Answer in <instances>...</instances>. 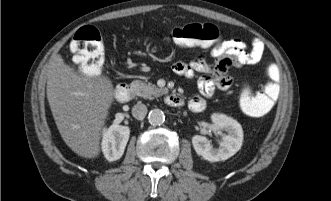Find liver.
<instances>
[{"instance_id":"6515ba94","label":"liver","mask_w":331,"mask_h":201,"mask_svg":"<svg viewBox=\"0 0 331 201\" xmlns=\"http://www.w3.org/2000/svg\"><path fill=\"white\" fill-rule=\"evenodd\" d=\"M47 99L66 145L79 156L100 154L101 134L114 101V88L107 76L79 74L61 55L51 56L45 66Z\"/></svg>"}]
</instances>
